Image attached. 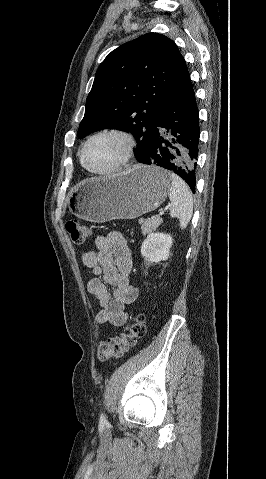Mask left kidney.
<instances>
[{
	"instance_id": "5707ae66",
	"label": "left kidney",
	"mask_w": 266,
	"mask_h": 479,
	"mask_svg": "<svg viewBox=\"0 0 266 479\" xmlns=\"http://www.w3.org/2000/svg\"><path fill=\"white\" fill-rule=\"evenodd\" d=\"M172 244L173 239L169 234L150 233L142 243L141 254L148 264L158 263L169 257Z\"/></svg>"
}]
</instances>
